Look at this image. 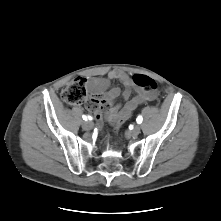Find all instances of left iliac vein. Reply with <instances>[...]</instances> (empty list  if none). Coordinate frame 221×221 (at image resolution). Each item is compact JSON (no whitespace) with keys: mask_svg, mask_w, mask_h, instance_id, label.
<instances>
[{"mask_svg":"<svg viewBox=\"0 0 221 221\" xmlns=\"http://www.w3.org/2000/svg\"><path fill=\"white\" fill-rule=\"evenodd\" d=\"M141 132V127L140 125H136L131 131L130 134L134 137L138 136Z\"/></svg>","mask_w":221,"mask_h":221,"instance_id":"1","label":"left iliac vein"}]
</instances>
